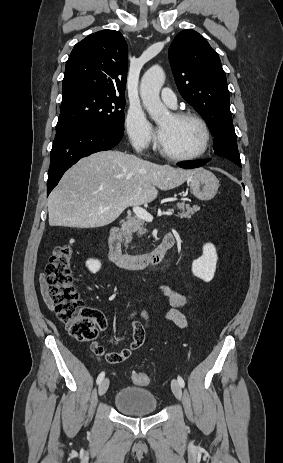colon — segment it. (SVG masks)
<instances>
[{
	"mask_svg": "<svg viewBox=\"0 0 283 463\" xmlns=\"http://www.w3.org/2000/svg\"><path fill=\"white\" fill-rule=\"evenodd\" d=\"M72 257V242L54 248L46 266L47 292L54 305L56 316L68 327L71 336L80 342H93L98 333L105 328L106 322L98 310L83 305L73 285ZM93 350L110 363L119 361L116 353L105 352L97 343H93ZM131 380L139 386L152 383L151 377L143 372L132 373Z\"/></svg>",
	"mask_w": 283,
	"mask_h": 463,
	"instance_id": "colon-1",
	"label": "colon"
}]
</instances>
